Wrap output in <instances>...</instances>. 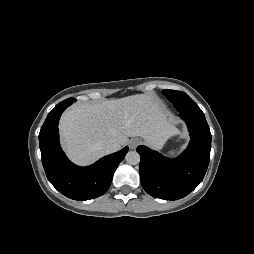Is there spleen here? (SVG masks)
Listing matches in <instances>:
<instances>
[{"mask_svg": "<svg viewBox=\"0 0 254 254\" xmlns=\"http://www.w3.org/2000/svg\"><path fill=\"white\" fill-rule=\"evenodd\" d=\"M175 153H176L175 150H174V151H170V152H169V155L173 156V155H175Z\"/></svg>", "mask_w": 254, "mask_h": 254, "instance_id": "3e777b00", "label": "spleen"}]
</instances>
